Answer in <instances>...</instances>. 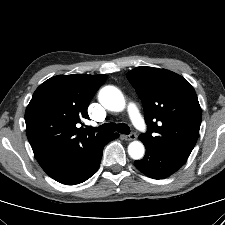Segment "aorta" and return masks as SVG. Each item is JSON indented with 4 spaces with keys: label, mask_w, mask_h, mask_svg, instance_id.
<instances>
[{
    "label": "aorta",
    "mask_w": 225,
    "mask_h": 225,
    "mask_svg": "<svg viewBox=\"0 0 225 225\" xmlns=\"http://www.w3.org/2000/svg\"><path fill=\"white\" fill-rule=\"evenodd\" d=\"M101 105L110 111L120 112L125 108V99L122 92L115 86L103 87L98 95ZM145 148L142 142L133 141L128 146V154L134 160L143 158Z\"/></svg>",
    "instance_id": "762f6f07"
}]
</instances>
